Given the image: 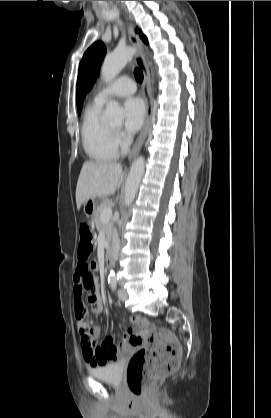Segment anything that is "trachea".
I'll return each mask as SVG.
<instances>
[{"instance_id":"1","label":"trachea","mask_w":271,"mask_h":418,"mask_svg":"<svg viewBox=\"0 0 271 418\" xmlns=\"http://www.w3.org/2000/svg\"><path fill=\"white\" fill-rule=\"evenodd\" d=\"M135 78L139 83L143 81V73L139 68H135L134 70Z\"/></svg>"}]
</instances>
